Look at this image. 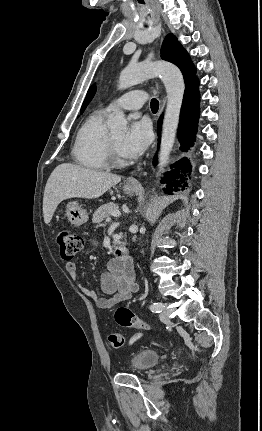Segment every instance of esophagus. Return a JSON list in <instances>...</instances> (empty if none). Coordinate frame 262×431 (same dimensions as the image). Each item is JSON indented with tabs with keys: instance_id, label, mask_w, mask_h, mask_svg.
<instances>
[{
	"instance_id": "obj_1",
	"label": "esophagus",
	"mask_w": 262,
	"mask_h": 431,
	"mask_svg": "<svg viewBox=\"0 0 262 431\" xmlns=\"http://www.w3.org/2000/svg\"><path fill=\"white\" fill-rule=\"evenodd\" d=\"M127 184L131 186H140V183L135 178H130L127 180Z\"/></svg>"
}]
</instances>
